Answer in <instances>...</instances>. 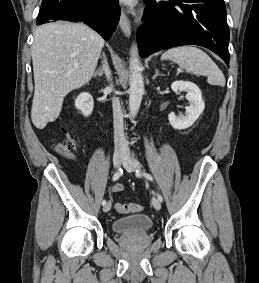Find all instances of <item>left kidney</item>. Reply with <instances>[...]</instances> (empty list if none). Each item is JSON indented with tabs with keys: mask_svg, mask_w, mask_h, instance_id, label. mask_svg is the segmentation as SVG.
<instances>
[{
	"mask_svg": "<svg viewBox=\"0 0 259 283\" xmlns=\"http://www.w3.org/2000/svg\"><path fill=\"white\" fill-rule=\"evenodd\" d=\"M171 89L175 92H187L186 99L190 105L186 107V116H176L171 112L168 115L169 123L174 129H187L193 125L204 110L202 93L196 84L189 81H175L172 83Z\"/></svg>",
	"mask_w": 259,
	"mask_h": 283,
	"instance_id": "5707ae66",
	"label": "left kidney"
}]
</instances>
